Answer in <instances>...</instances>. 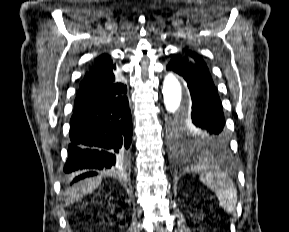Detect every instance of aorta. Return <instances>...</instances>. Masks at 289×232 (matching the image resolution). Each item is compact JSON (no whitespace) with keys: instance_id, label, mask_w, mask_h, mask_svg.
I'll use <instances>...</instances> for the list:
<instances>
[{"instance_id":"762f6f07","label":"aorta","mask_w":289,"mask_h":232,"mask_svg":"<svg viewBox=\"0 0 289 232\" xmlns=\"http://www.w3.org/2000/svg\"><path fill=\"white\" fill-rule=\"evenodd\" d=\"M162 93L165 108L174 119L186 118L189 115L190 100L187 96L184 97L181 84L174 74L165 76Z\"/></svg>"}]
</instances>
